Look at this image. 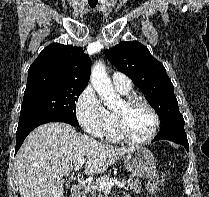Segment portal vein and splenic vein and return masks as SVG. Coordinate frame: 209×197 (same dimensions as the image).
Instances as JSON below:
<instances>
[{
	"mask_svg": "<svg viewBox=\"0 0 209 197\" xmlns=\"http://www.w3.org/2000/svg\"><path fill=\"white\" fill-rule=\"evenodd\" d=\"M84 163H85V159H80V160L78 161V164H77V165L75 166V168H74L75 171H76V170H79L80 168H82L83 165H84ZM98 184H99V187H100L102 190L106 191V192L110 191L111 188H112V186H114V185L118 186L119 188H124V187H125V183H124V182H119V181L116 180V179L110 180V181L100 180V181L98 182Z\"/></svg>",
	"mask_w": 209,
	"mask_h": 197,
	"instance_id": "portal-vein-and-splenic-vein-1",
	"label": "portal vein and splenic vein"
}]
</instances>
